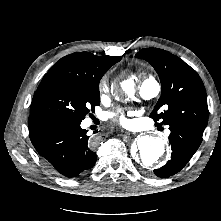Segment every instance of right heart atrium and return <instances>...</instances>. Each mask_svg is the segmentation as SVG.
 <instances>
[{"mask_svg": "<svg viewBox=\"0 0 221 221\" xmlns=\"http://www.w3.org/2000/svg\"><path fill=\"white\" fill-rule=\"evenodd\" d=\"M106 87H107L106 81H102V83H101V88H102L103 90H105Z\"/></svg>", "mask_w": 221, "mask_h": 221, "instance_id": "right-heart-atrium-1", "label": "right heart atrium"}]
</instances>
